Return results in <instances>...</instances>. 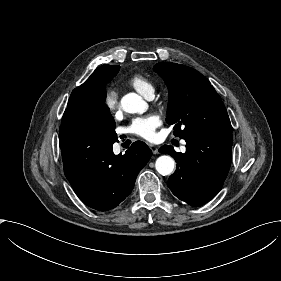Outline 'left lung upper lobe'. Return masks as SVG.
<instances>
[{"label": "left lung upper lobe", "instance_id": "5c2ea615", "mask_svg": "<svg viewBox=\"0 0 281 281\" xmlns=\"http://www.w3.org/2000/svg\"><path fill=\"white\" fill-rule=\"evenodd\" d=\"M154 70L169 90L166 121L181 139L232 135L231 123L220 96L209 80L193 68L160 62Z\"/></svg>", "mask_w": 281, "mask_h": 281}]
</instances>
